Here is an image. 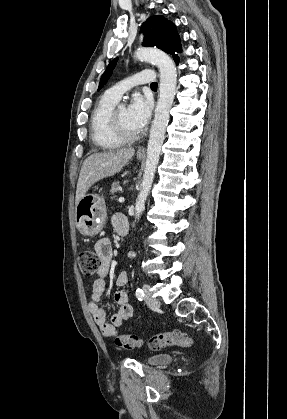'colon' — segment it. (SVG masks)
Here are the masks:
<instances>
[{"label":"colon","instance_id":"colon-1","mask_svg":"<svg viewBox=\"0 0 287 419\" xmlns=\"http://www.w3.org/2000/svg\"><path fill=\"white\" fill-rule=\"evenodd\" d=\"M101 266L99 255L91 250H84L79 255V267L83 275H94ZM114 343L124 349H134L142 344V340L133 334H124L114 337ZM191 344V338L188 334L173 330L152 336L148 340V347L151 350H160L169 346L188 347Z\"/></svg>","mask_w":287,"mask_h":419}]
</instances>
